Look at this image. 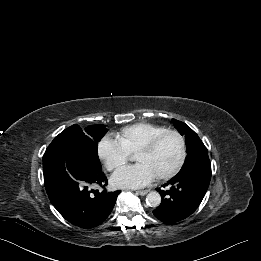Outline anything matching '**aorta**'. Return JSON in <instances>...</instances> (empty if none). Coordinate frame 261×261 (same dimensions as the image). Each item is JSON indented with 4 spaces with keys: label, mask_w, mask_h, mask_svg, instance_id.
<instances>
[{
    "label": "aorta",
    "mask_w": 261,
    "mask_h": 261,
    "mask_svg": "<svg viewBox=\"0 0 261 261\" xmlns=\"http://www.w3.org/2000/svg\"><path fill=\"white\" fill-rule=\"evenodd\" d=\"M146 203L150 207H158L161 203V196L156 191H151L146 196Z\"/></svg>",
    "instance_id": "obj_1"
}]
</instances>
